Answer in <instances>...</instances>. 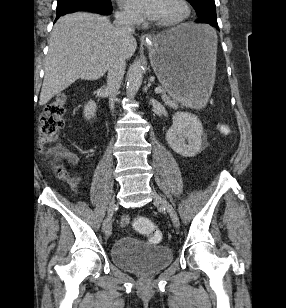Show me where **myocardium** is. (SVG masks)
Here are the masks:
<instances>
[{"mask_svg":"<svg viewBox=\"0 0 286 308\" xmlns=\"http://www.w3.org/2000/svg\"><path fill=\"white\" fill-rule=\"evenodd\" d=\"M175 2L182 9L181 15L175 19L157 21L158 26L165 27V28L175 27V26L182 24L189 18L191 9H190L188 2L186 0H175Z\"/></svg>","mask_w":286,"mask_h":308,"instance_id":"myocardium-1","label":"myocardium"}]
</instances>
